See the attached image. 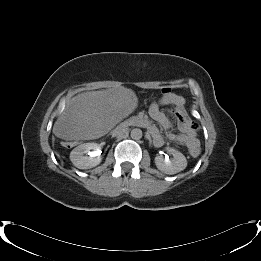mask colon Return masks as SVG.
I'll list each match as a JSON object with an SVG mask.
<instances>
[{"mask_svg":"<svg viewBox=\"0 0 261 261\" xmlns=\"http://www.w3.org/2000/svg\"><path fill=\"white\" fill-rule=\"evenodd\" d=\"M161 95L163 97H168L170 95V90L168 88H163L161 90ZM170 103L175 105L176 107H184L183 100L178 98L177 96H172L170 98ZM174 115L178 117L179 127L181 128V132L185 136H190L192 134V129L190 125L194 128V125L191 124V120L189 119V114L187 112H183L181 108H176L174 110ZM65 146H70V143H64ZM189 154L191 156H198L200 153L199 146L191 145L188 147Z\"/></svg>","mask_w":261,"mask_h":261,"instance_id":"5ec220e1","label":"colon"}]
</instances>
